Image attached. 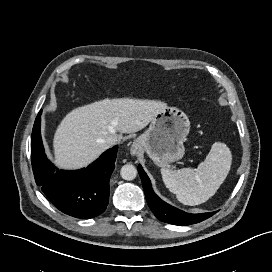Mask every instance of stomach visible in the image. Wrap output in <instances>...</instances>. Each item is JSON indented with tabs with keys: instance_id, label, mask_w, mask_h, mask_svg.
Masks as SVG:
<instances>
[{
	"instance_id": "stomach-1",
	"label": "stomach",
	"mask_w": 272,
	"mask_h": 272,
	"mask_svg": "<svg viewBox=\"0 0 272 272\" xmlns=\"http://www.w3.org/2000/svg\"><path fill=\"white\" fill-rule=\"evenodd\" d=\"M189 131L188 116L176 107H167L152 119L148 129L136 139L134 148L146 152L156 165L168 167L184 156L183 143Z\"/></svg>"
}]
</instances>
